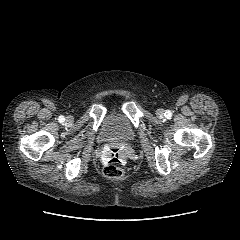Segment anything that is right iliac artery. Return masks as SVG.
<instances>
[{
  "label": "right iliac artery",
  "instance_id": "82829eb1",
  "mask_svg": "<svg viewBox=\"0 0 240 240\" xmlns=\"http://www.w3.org/2000/svg\"><path fill=\"white\" fill-rule=\"evenodd\" d=\"M58 120L59 122H64L65 118L63 116H60Z\"/></svg>",
  "mask_w": 240,
  "mask_h": 240
}]
</instances>
